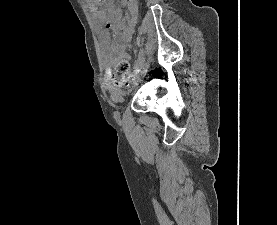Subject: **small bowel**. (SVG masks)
Segmentation results:
<instances>
[{
	"label": "small bowel",
	"mask_w": 277,
	"mask_h": 225,
	"mask_svg": "<svg viewBox=\"0 0 277 225\" xmlns=\"http://www.w3.org/2000/svg\"><path fill=\"white\" fill-rule=\"evenodd\" d=\"M106 0L90 3L92 18L98 29L99 40L103 55L109 66L105 75V88L114 98L119 99L122 96V89L115 83L110 65L117 57L125 55V49L130 42L133 26L138 13L137 0H122V4L128 9V19L125 22L122 19L121 10L113 4H101ZM113 31V39L111 38Z\"/></svg>",
	"instance_id": "small-bowel-1"
}]
</instances>
